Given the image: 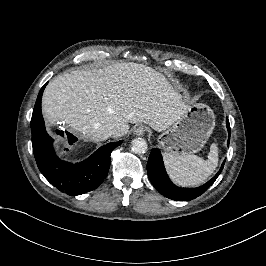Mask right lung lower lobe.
<instances>
[{
	"label": "right lung lower lobe",
	"instance_id": "obj_1",
	"mask_svg": "<svg viewBox=\"0 0 266 266\" xmlns=\"http://www.w3.org/2000/svg\"><path fill=\"white\" fill-rule=\"evenodd\" d=\"M47 83L38 94L31 119L32 145L37 166L45 178L61 192L75 196L92 191L107 176L110 154L122 141L102 146L80 163L71 164L60 160L54 152L53 139L45 130L41 112V98Z\"/></svg>",
	"mask_w": 266,
	"mask_h": 266
}]
</instances>
